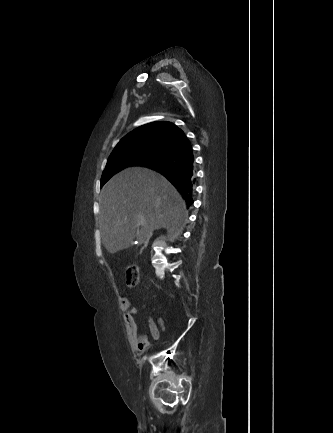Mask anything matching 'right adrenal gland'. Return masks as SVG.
<instances>
[{
    "label": "right adrenal gland",
    "mask_w": 333,
    "mask_h": 433,
    "mask_svg": "<svg viewBox=\"0 0 333 433\" xmlns=\"http://www.w3.org/2000/svg\"><path fill=\"white\" fill-rule=\"evenodd\" d=\"M147 244H148V242H146V243H145L144 247H146V246H147Z\"/></svg>",
    "instance_id": "1"
}]
</instances>
